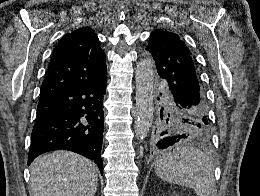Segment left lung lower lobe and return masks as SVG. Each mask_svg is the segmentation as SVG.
Returning <instances> with one entry per match:
<instances>
[{"label": "left lung lower lobe", "instance_id": "obj_1", "mask_svg": "<svg viewBox=\"0 0 260 196\" xmlns=\"http://www.w3.org/2000/svg\"><path fill=\"white\" fill-rule=\"evenodd\" d=\"M181 138L180 135L177 134H169L167 135L163 141L160 143V148L161 149H165L169 146L174 145L175 143H177L179 141V139Z\"/></svg>", "mask_w": 260, "mask_h": 196}]
</instances>
